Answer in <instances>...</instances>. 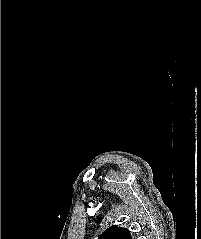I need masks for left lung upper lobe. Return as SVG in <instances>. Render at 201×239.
<instances>
[{
  "label": "left lung upper lobe",
  "mask_w": 201,
  "mask_h": 239,
  "mask_svg": "<svg viewBox=\"0 0 201 239\" xmlns=\"http://www.w3.org/2000/svg\"><path fill=\"white\" fill-rule=\"evenodd\" d=\"M98 239H132V237L128 229L113 225L107 228Z\"/></svg>",
  "instance_id": "5c2ea615"
}]
</instances>
